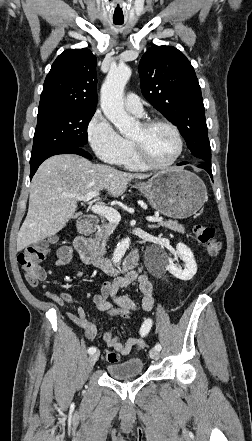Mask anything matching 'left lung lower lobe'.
I'll list each match as a JSON object with an SVG mask.
<instances>
[{"label": "left lung lower lobe", "instance_id": "0a47b994", "mask_svg": "<svg viewBox=\"0 0 252 441\" xmlns=\"http://www.w3.org/2000/svg\"><path fill=\"white\" fill-rule=\"evenodd\" d=\"M188 162H181V163H179L178 165H185V164H187ZM201 167H203L208 173H209V175L211 176V178H213V176H212V171H211V162H208V161H202L201 160V165H200Z\"/></svg>", "mask_w": 252, "mask_h": 441}]
</instances>
